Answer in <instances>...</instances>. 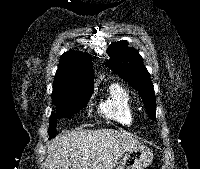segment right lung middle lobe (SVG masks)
I'll use <instances>...</instances> for the list:
<instances>
[{"label": "right lung middle lobe", "mask_w": 200, "mask_h": 169, "mask_svg": "<svg viewBox=\"0 0 200 169\" xmlns=\"http://www.w3.org/2000/svg\"><path fill=\"white\" fill-rule=\"evenodd\" d=\"M92 92H86L77 96L52 100L57 108V113H52L49 122V134L50 137H54L56 134L57 118H65L73 115L77 111L81 110L90 100Z\"/></svg>", "instance_id": "right-lung-middle-lobe-1"}]
</instances>
